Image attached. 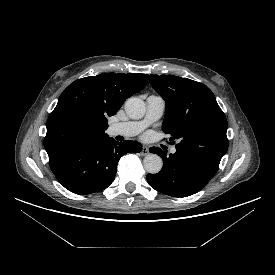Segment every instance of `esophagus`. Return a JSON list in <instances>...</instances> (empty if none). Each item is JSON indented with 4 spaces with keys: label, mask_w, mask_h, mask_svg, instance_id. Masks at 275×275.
<instances>
[{
    "label": "esophagus",
    "mask_w": 275,
    "mask_h": 275,
    "mask_svg": "<svg viewBox=\"0 0 275 275\" xmlns=\"http://www.w3.org/2000/svg\"><path fill=\"white\" fill-rule=\"evenodd\" d=\"M141 154H142L143 156L149 154V149H148V147L144 146V147L142 148V150H141Z\"/></svg>",
    "instance_id": "34e87169"
}]
</instances>
